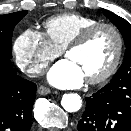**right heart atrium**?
<instances>
[{
  "instance_id": "1",
  "label": "right heart atrium",
  "mask_w": 131,
  "mask_h": 131,
  "mask_svg": "<svg viewBox=\"0 0 131 131\" xmlns=\"http://www.w3.org/2000/svg\"><path fill=\"white\" fill-rule=\"evenodd\" d=\"M13 51L18 66L31 76L43 72L61 54L44 34L32 29L23 31L15 39Z\"/></svg>"
}]
</instances>
